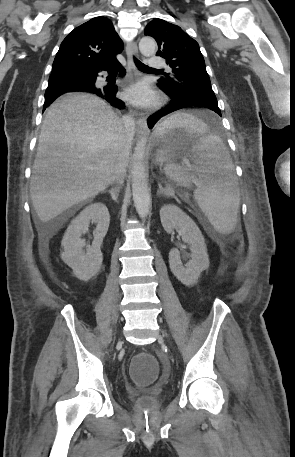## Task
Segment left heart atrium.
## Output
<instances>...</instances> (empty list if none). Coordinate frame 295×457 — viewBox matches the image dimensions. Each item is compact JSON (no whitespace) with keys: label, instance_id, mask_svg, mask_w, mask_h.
Wrapping results in <instances>:
<instances>
[{"label":"left heart atrium","instance_id":"1","mask_svg":"<svg viewBox=\"0 0 295 457\" xmlns=\"http://www.w3.org/2000/svg\"><path fill=\"white\" fill-rule=\"evenodd\" d=\"M126 99L139 107H149L157 102L158 96L146 81L133 83L125 92Z\"/></svg>","mask_w":295,"mask_h":457}]
</instances>
